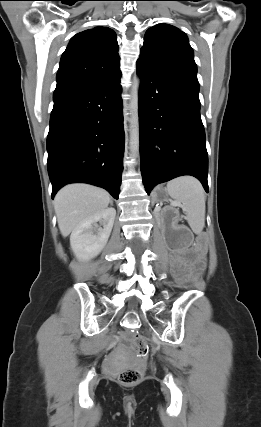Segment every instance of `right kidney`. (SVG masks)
Listing matches in <instances>:
<instances>
[{
    "label": "right kidney",
    "instance_id": "obj_1",
    "mask_svg": "<svg viewBox=\"0 0 261 427\" xmlns=\"http://www.w3.org/2000/svg\"><path fill=\"white\" fill-rule=\"evenodd\" d=\"M115 216L116 210L107 208L76 226L70 236V245L78 259L90 260L103 250L112 231Z\"/></svg>",
    "mask_w": 261,
    "mask_h": 427
}]
</instances>
